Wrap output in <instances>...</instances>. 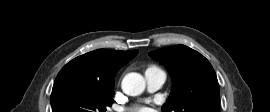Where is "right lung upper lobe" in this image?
Returning a JSON list of instances; mask_svg holds the SVG:
<instances>
[{
    "label": "right lung upper lobe",
    "mask_w": 270,
    "mask_h": 112,
    "mask_svg": "<svg viewBox=\"0 0 270 112\" xmlns=\"http://www.w3.org/2000/svg\"><path fill=\"white\" fill-rule=\"evenodd\" d=\"M132 51L95 50L78 56L58 73L55 82L75 80L86 84L114 87L116 72L136 54Z\"/></svg>",
    "instance_id": "cb5924a9"
}]
</instances>
